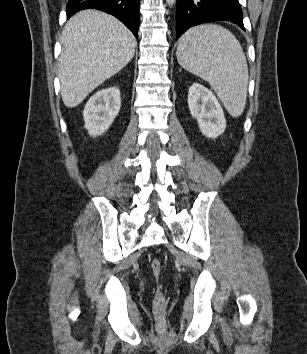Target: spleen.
I'll use <instances>...</instances> for the list:
<instances>
[{
  "mask_svg": "<svg viewBox=\"0 0 307 354\" xmlns=\"http://www.w3.org/2000/svg\"><path fill=\"white\" fill-rule=\"evenodd\" d=\"M177 60L190 73L207 81L232 117L246 105L248 65L236 37L218 25L190 28L178 41Z\"/></svg>",
  "mask_w": 307,
  "mask_h": 354,
  "instance_id": "3e777b00",
  "label": "spleen"
}]
</instances>
